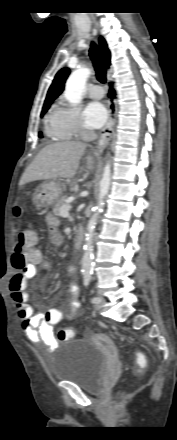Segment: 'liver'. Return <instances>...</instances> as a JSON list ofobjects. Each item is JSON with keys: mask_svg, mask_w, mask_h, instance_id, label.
<instances>
[{"mask_svg": "<svg viewBox=\"0 0 177 440\" xmlns=\"http://www.w3.org/2000/svg\"><path fill=\"white\" fill-rule=\"evenodd\" d=\"M85 149L86 144L79 141H64L44 147L23 173L20 184L74 177ZM86 159L87 168L93 170V157L88 154Z\"/></svg>", "mask_w": 177, "mask_h": 440, "instance_id": "obj_1", "label": "liver"}]
</instances>
